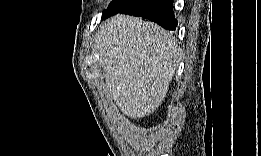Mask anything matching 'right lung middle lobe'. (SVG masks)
I'll list each match as a JSON object with an SVG mask.
<instances>
[{
	"label": "right lung middle lobe",
	"instance_id": "right-lung-middle-lobe-1",
	"mask_svg": "<svg viewBox=\"0 0 261 156\" xmlns=\"http://www.w3.org/2000/svg\"><path fill=\"white\" fill-rule=\"evenodd\" d=\"M133 0H113L108 9L103 13L102 19L108 18L119 11L123 10L127 5H129Z\"/></svg>",
	"mask_w": 261,
	"mask_h": 156
}]
</instances>
